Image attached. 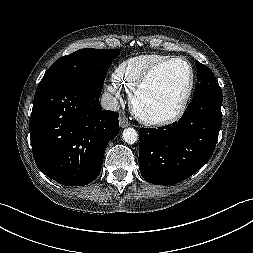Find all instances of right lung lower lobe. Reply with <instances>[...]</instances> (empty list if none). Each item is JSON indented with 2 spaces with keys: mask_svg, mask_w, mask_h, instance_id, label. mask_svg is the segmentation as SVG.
Instances as JSON below:
<instances>
[{
  "mask_svg": "<svg viewBox=\"0 0 253 253\" xmlns=\"http://www.w3.org/2000/svg\"><path fill=\"white\" fill-rule=\"evenodd\" d=\"M102 87L70 79L37 87L29 126L33 156L62 185L94 181L108 142L119 132V114L101 109Z\"/></svg>",
  "mask_w": 253,
  "mask_h": 253,
  "instance_id": "right-lung-lower-lobe-1",
  "label": "right lung lower lobe"
}]
</instances>
